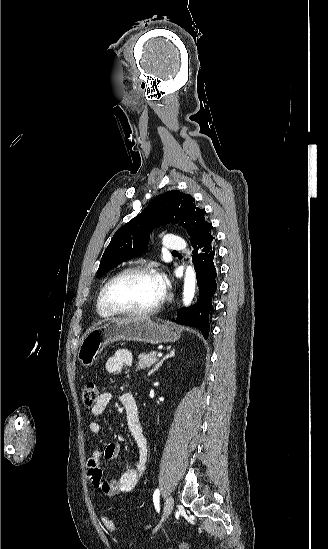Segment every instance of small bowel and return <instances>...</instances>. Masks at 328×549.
Returning a JSON list of instances; mask_svg holds the SVG:
<instances>
[{
    "mask_svg": "<svg viewBox=\"0 0 328 549\" xmlns=\"http://www.w3.org/2000/svg\"><path fill=\"white\" fill-rule=\"evenodd\" d=\"M132 363L131 352L120 349L107 359L105 369L108 373L114 374L122 371L125 367H130ZM111 399L112 395L108 392L100 394L96 404L91 409L92 414L96 417L104 415ZM119 400L125 411L129 434L138 451V459L134 468H127L117 479L107 481L104 479L101 460L106 458L108 461L113 462L119 455L120 443L111 442L104 450L101 448L93 449L87 462L89 476L99 493L107 498H116L131 492L139 483L146 469L148 459V442L139 421L136 401L129 392L121 393ZM88 428L93 434H99L102 431L101 424L98 421L89 422Z\"/></svg>",
    "mask_w": 328,
    "mask_h": 549,
    "instance_id": "small-bowel-1",
    "label": "small bowel"
}]
</instances>
